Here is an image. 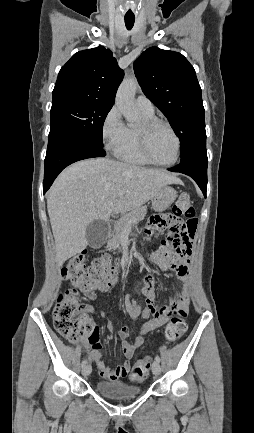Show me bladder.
<instances>
[{"instance_id": "bladder-1", "label": "bladder", "mask_w": 254, "mask_h": 433, "mask_svg": "<svg viewBox=\"0 0 254 433\" xmlns=\"http://www.w3.org/2000/svg\"><path fill=\"white\" fill-rule=\"evenodd\" d=\"M95 387L100 394L112 399L135 398L142 392L141 387L122 381H97Z\"/></svg>"}]
</instances>
